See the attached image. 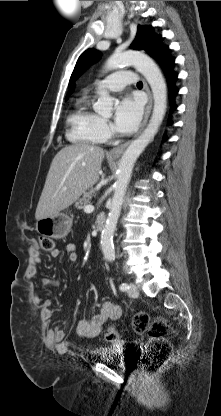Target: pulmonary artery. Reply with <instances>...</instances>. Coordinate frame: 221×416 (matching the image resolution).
<instances>
[{
  "mask_svg": "<svg viewBox=\"0 0 221 416\" xmlns=\"http://www.w3.org/2000/svg\"><path fill=\"white\" fill-rule=\"evenodd\" d=\"M135 83L136 76L126 69H120L99 82L102 87L111 92L121 91L125 86Z\"/></svg>",
  "mask_w": 221,
  "mask_h": 416,
  "instance_id": "1",
  "label": "pulmonary artery"
}]
</instances>
